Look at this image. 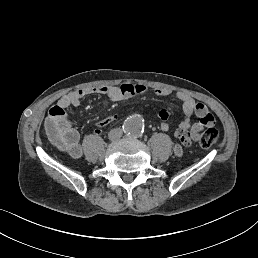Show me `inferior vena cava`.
Listing matches in <instances>:
<instances>
[{
  "instance_id": "602c4592",
  "label": "inferior vena cava",
  "mask_w": 258,
  "mask_h": 258,
  "mask_svg": "<svg viewBox=\"0 0 258 258\" xmlns=\"http://www.w3.org/2000/svg\"><path fill=\"white\" fill-rule=\"evenodd\" d=\"M123 134V131L121 128L112 129L111 132L108 135V138L111 141H118L121 138V135Z\"/></svg>"
}]
</instances>
